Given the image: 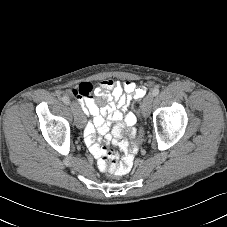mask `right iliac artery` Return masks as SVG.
<instances>
[{"mask_svg": "<svg viewBox=\"0 0 227 227\" xmlns=\"http://www.w3.org/2000/svg\"><path fill=\"white\" fill-rule=\"evenodd\" d=\"M62 101L65 103V104H70V100H69V98L67 97V96H63L62 97Z\"/></svg>", "mask_w": 227, "mask_h": 227, "instance_id": "1", "label": "right iliac artery"}]
</instances>
